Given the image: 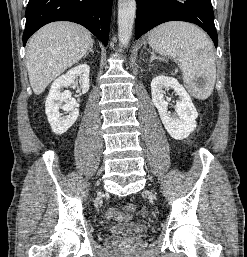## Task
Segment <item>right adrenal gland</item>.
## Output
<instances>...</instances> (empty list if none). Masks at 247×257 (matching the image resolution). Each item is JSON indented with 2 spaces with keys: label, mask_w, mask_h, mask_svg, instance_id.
Returning a JSON list of instances; mask_svg holds the SVG:
<instances>
[{
  "label": "right adrenal gland",
  "mask_w": 247,
  "mask_h": 257,
  "mask_svg": "<svg viewBox=\"0 0 247 257\" xmlns=\"http://www.w3.org/2000/svg\"><path fill=\"white\" fill-rule=\"evenodd\" d=\"M89 53H92V54L94 53L93 45L90 47L89 51L85 54L84 58H86L89 55Z\"/></svg>",
  "instance_id": "obj_1"
}]
</instances>
